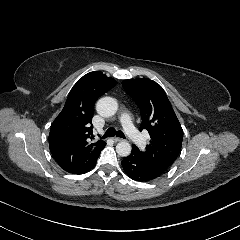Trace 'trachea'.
Here are the masks:
<instances>
[{"label": "trachea", "mask_w": 240, "mask_h": 240, "mask_svg": "<svg viewBox=\"0 0 240 240\" xmlns=\"http://www.w3.org/2000/svg\"><path fill=\"white\" fill-rule=\"evenodd\" d=\"M117 136V137H121V138H125V135L124 133L121 131V130H116L115 128L111 127L109 128L105 135L103 136V138H107V137H114V136Z\"/></svg>", "instance_id": "1"}]
</instances>
